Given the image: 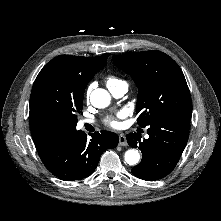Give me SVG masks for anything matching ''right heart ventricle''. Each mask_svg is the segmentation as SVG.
Listing matches in <instances>:
<instances>
[{"label":"right heart ventricle","mask_w":221,"mask_h":221,"mask_svg":"<svg viewBox=\"0 0 221 221\" xmlns=\"http://www.w3.org/2000/svg\"><path fill=\"white\" fill-rule=\"evenodd\" d=\"M122 83H125V82L122 81L121 79L113 77V76H110L106 79V84H107L108 88L116 87Z\"/></svg>","instance_id":"obj_1"}]
</instances>
